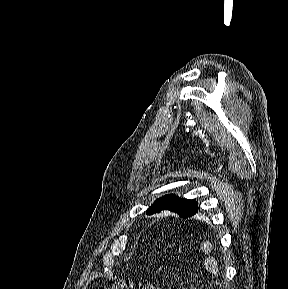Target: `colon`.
<instances>
[{"instance_id":"5ec220e1","label":"colon","mask_w":288,"mask_h":289,"mask_svg":"<svg viewBox=\"0 0 288 289\" xmlns=\"http://www.w3.org/2000/svg\"><path fill=\"white\" fill-rule=\"evenodd\" d=\"M133 285L129 280H123L115 282L106 287H100L99 289H132ZM142 289H160L155 283H146L141 286Z\"/></svg>"}]
</instances>
